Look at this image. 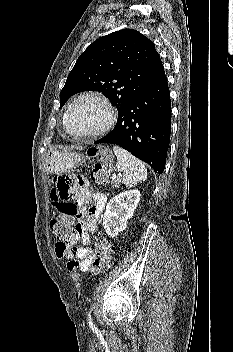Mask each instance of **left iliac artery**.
Here are the masks:
<instances>
[{"mask_svg": "<svg viewBox=\"0 0 233 352\" xmlns=\"http://www.w3.org/2000/svg\"><path fill=\"white\" fill-rule=\"evenodd\" d=\"M88 319H89V322H91L92 321V318H91V312L89 311V313H88Z\"/></svg>", "mask_w": 233, "mask_h": 352, "instance_id": "obj_1", "label": "left iliac artery"}]
</instances>
